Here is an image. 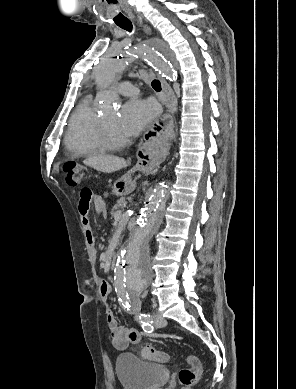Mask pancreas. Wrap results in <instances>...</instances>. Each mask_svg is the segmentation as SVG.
Wrapping results in <instances>:
<instances>
[{
    "mask_svg": "<svg viewBox=\"0 0 296 389\" xmlns=\"http://www.w3.org/2000/svg\"><path fill=\"white\" fill-rule=\"evenodd\" d=\"M125 203V199L122 198L118 200L117 204L113 207L111 211V215L115 217L116 213L120 212V209L123 207V204Z\"/></svg>",
    "mask_w": 296,
    "mask_h": 389,
    "instance_id": "cf45deb5",
    "label": "pancreas"
}]
</instances>
